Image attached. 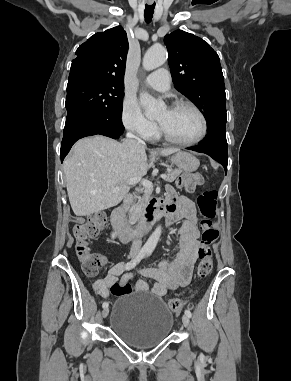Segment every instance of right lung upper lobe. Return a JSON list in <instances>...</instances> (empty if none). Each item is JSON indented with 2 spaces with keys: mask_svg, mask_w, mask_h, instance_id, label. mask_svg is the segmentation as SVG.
Here are the masks:
<instances>
[{
  "mask_svg": "<svg viewBox=\"0 0 291 381\" xmlns=\"http://www.w3.org/2000/svg\"><path fill=\"white\" fill-rule=\"evenodd\" d=\"M127 50V34L121 26L94 34L78 47L68 82L124 86Z\"/></svg>",
  "mask_w": 291,
  "mask_h": 381,
  "instance_id": "cb5924a9",
  "label": "right lung upper lobe"
}]
</instances>
